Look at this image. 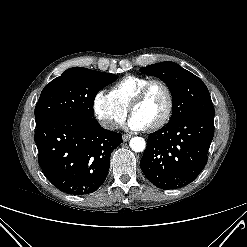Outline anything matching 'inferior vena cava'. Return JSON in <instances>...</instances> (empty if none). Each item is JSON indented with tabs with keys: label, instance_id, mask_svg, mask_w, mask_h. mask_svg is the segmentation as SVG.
I'll return each instance as SVG.
<instances>
[{
	"label": "inferior vena cava",
	"instance_id": "602c4592",
	"mask_svg": "<svg viewBox=\"0 0 247 247\" xmlns=\"http://www.w3.org/2000/svg\"><path fill=\"white\" fill-rule=\"evenodd\" d=\"M100 125L110 130H115L118 128V124L112 120H101Z\"/></svg>",
	"mask_w": 247,
	"mask_h": 247
}]
</instances>
